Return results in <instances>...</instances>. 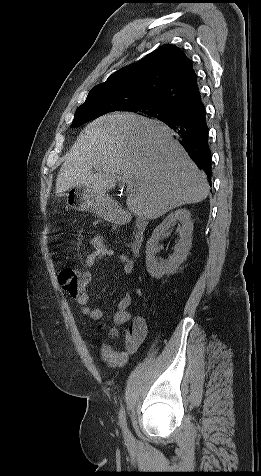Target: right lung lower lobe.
Masks as SVG:
<instances>
[{
    "instance_id": "1",
    "label": "right lung lower lobe",
    "mask_w": 261,
    "mask_h": 476,
    "mask_svg": "<svg viewBox=\"0 0 261 476\" xmlns=\"http://www.w3.org/2000/svg\"><path fill=\"white\" fill-rule=\"evenodd\" d=\"M177 134L181 145L196 165L211 179V152L208 143V127L205 106L200 99L195 105L183 109L172 119L163 121Z\"/></svg>"
}]
</instances>
